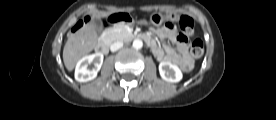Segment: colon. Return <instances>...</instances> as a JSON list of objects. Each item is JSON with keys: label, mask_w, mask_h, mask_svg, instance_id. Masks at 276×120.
Segmentation results:
<instances>
[{"label": "colon", "mask_w": 276, "mask_h": 120, "mask_svg": "<svg viewBox=\"0 0 276 120\" xmlns=\"http://www.w3.org/2000/svg\"><path fill=\"white\" fill-rule=\"evenodd\" d=\"M119 15L130 17L133 20V17L131 15H128V14L126 15L122 12H119V11L117 12L116 11V12L107 14L105 17L99 18L98 21H97L98 28L101 29V30L109 29L110 25L107 26V27L104 26V24H103L104 21H106V20L108 21V20L113 19V18H115ZM92 22H93V17L91 15H85L84 17L82 16L75 23L72 22V23L69 24V26H68L69 27V33L71 35H76L81 30V28L89 27ZM167 25L169 27L173 26L172 23H168ZM113 26L117 27V28H123L125 26L128 27L129 25H127V24L122 25L120 23H117ZM179 28H180V31H181V35L183 37L186 38L188 36H191L194 33V30H195L193 19L190 18L189 16H182L179 20ZM190 53L194 58H197V59L201 58L204 54V44H203V42L199 39L194 40L191 44V47H190Z\"/></svg>", "instance_id": "5ec220e1"}]
</instances>
